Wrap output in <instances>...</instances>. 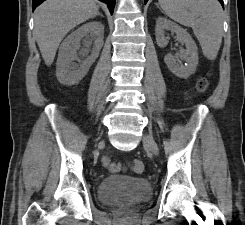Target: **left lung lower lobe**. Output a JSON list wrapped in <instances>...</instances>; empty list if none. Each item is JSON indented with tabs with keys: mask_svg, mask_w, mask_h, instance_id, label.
I'll return each mask as SVG.
<instances>
[{
	"mask_svg": "<svg viewBox=\"0 0 245 225\" xmlns=\"http://www.w3.org/2000/svg\"><path fill=\"white\" fill-rule=\"evenodd\" d=\"M148 0H144L145 3H147ZM219 2L221 3V5L223 6V0H219Z\"/></svg>",
	"mask_w": 245,
	"mask_h": 225,
	"instance_id": "1",
	"label": "left lung lower lobe"
}]
</instances>
